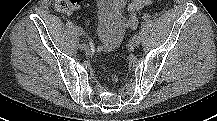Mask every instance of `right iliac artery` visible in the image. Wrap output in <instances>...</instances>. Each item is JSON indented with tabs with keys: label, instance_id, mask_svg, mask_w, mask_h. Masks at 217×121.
I'll return each mask as SVG.
<instances>
[{
	"label": "right iliac artery",
	"instance_id": "82829eb1",
	"mask_svg": "<svg viewBox=\"0 0 217 121\" xmlns=\"http://www.w3.org/2000/svg\"><path fill=\"white\" fill-rule=\"evenodd\" d=\"M75 32L78 36H83V30L80 27H76Z\"/></svg>",
	"mask_w": 217,
	"mask_h": 121
}]
</instances>
